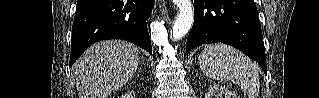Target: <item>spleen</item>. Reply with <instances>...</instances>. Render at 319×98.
I'll return each mask as SVG.
<instances>
[{
    "mask_svg": "<svg viewBox=\"0 0 319 98\" xmlns=\"http://www.w3.org/2000/svg\"><path fill=\"white\" fill-rule=\"evenodd\" d=\"M198 62L209 78L236 83L249 98L258 97V67L239 50L224 44L208 45Z\"/></svg>",
    "mask_w": 319,
    "mask_h": 98,
    "instance_id": "spleen-1",
    "label": "spleen"
}]
</instances>
